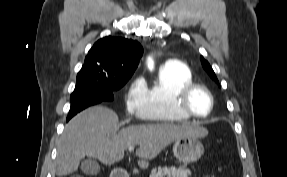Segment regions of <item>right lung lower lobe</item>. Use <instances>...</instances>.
<instances>
[{
    "instance_id": "1",
    "label": "right lung lower lobe",
    "mask_w": 287,
    "mask_h": 177,
    "mask_svg": "<svg viewBox=\"0 0 287 177\" xmlns=\"http://www.w3.org/2000/svg\"><path fill=\"white\" fill-rule=\"evenodd\" d=\"M100 102H102V101L95 100V99H84V100L72 102L70 112H69L68 117H67V121L70 118H72L75 114L82 111L83 109H85L89 106L98 104Z\"/></svg>"
}]
</instances>
